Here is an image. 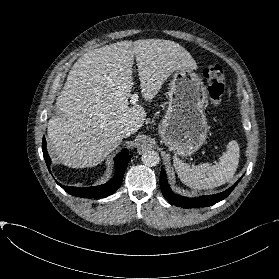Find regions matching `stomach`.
I'll return each mask as SVG.
<instances>
[{
    "mask_svg": "<svg viewBox=\"0 0 279 279\" xmlns=\"http://www.w3.org/2000/svg\"><path fill=\"white\" fill-rule=\"evenodd\" d=\"M168 95V108L159 125V136L175 155L190 156L207 138L206 88L195 72L181 68L172 76Z\"/></svg>",
    "mask_w": 279,
    "mask_h": 279,
    "instance_id": "obj_1",
    "label": "stomach"
}]
</instances>
